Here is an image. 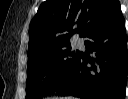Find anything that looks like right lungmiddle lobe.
<instances>
[{"label": "right lung middle lobe", "mask_w": 128, "mask_h": 99, "mask_svg": "<svg viewBox=\"0 0 128 99\" xmlns=\"http://www.w3.org/2000/svg\"><path fill=\"white\" fill-rule=\"evenodd\" d=\"M79 57L80 52H71L69 44L28 58L25 99L53 93L70 76Z\"/></svg>", "instance_id": "dd1d6c3e"}]
</instances>
